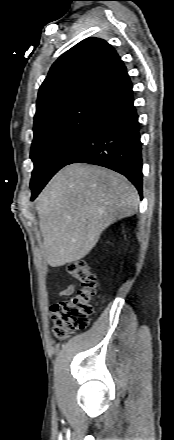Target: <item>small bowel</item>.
<instances>
[{
	"instance_id": "small-bowel-1",
	"label": "small bowel",
	"mask_w": 174,
	"mask_h": 440,
	"mask_svg": "<svg viewBox=\"0 0 174 440\" xmlns=\"http://www.w3.org/2000/svg\"><path fill=\"white\" fill-rule=\"evenodd\" d=\"M74 290H75V285L71 284L66 289H64L60 292V296L67 297V296L71 295L74 292Z\"/></svg>"
}]
</instances>
